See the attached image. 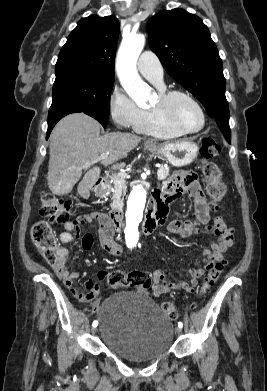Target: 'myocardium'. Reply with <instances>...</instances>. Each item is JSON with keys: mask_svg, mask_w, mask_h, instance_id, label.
<instances>
[{"mask_svg": "<svg viewBox=\"0 0 267 391\" xmlns=\"http://www.w3.org/2000/svg\"><path fill=\"white\" fill-rule=\"evenodd\" d=\"M176 97H183V98L189 100L199 110V112L201 114V118H202V123L198 129L187 130V129L181 127L177 122L174 121V119L172 118V116L170 115V112H169V104ZM153 109L161 121H163L164 123H166L167 125H169L173 129L181 132L182 134L199 133L205 128L206 123H207L206 113H205L202 105L199 103V101L195 97H193L191 94H189L188 92H185V91L168 90V91L162 92L160 94L159 104L157 106H155Z\"/></svg>", "mask_w": 267, "mask_h": 391, "instance_id": "myocardium-1", "label": "myocardium"}]
</instances>
